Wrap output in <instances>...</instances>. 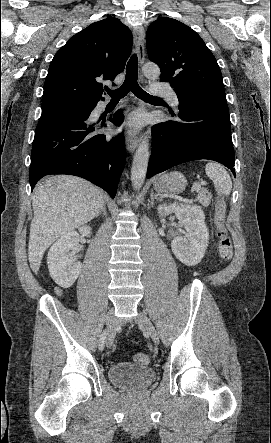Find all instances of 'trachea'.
<instances>
[{
    "label": "trachea",
    "instance_id": "1",
    "mask_svg": "<svg viewBox=\"0 0 271 443\" xmlns=\"http://www.w3.org/2000/svg\"><path fill=\"white\" fill-rule=\"evenodd\" d=\"M138 74V59L136 55H133L126 67V78L124 83L117 90H109L108 93L112 100H120L124 98L129 92H133L136 97L145 101H163L162 98L153 97L149 93L145 92L137 82Z\"/></svg>",
    "mask_w": 271,
    "mask_h": 443
}]
</instances>
